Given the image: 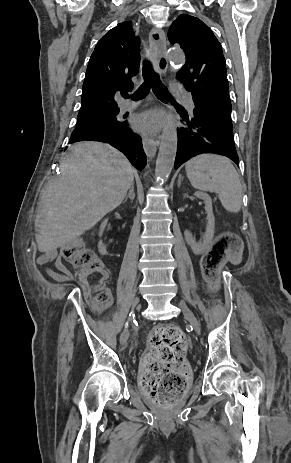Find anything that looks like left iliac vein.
<instances>
[{
    "mask_svg": "<svg viewBox=\"0 0 291 463\" xmlns=\"http://www.w3.org/2000/svg\"><path fill=\"white\" fill-rule=\"evenodd\" d=\"M179 307L181 308L184 317L190 323V325L194 328V330L196 332H200L201 330L200 324L197 318L195 317L194 313L184 303H179Z\"/></svg>",
    "mask_w": 291,
    "mask_h": 463,
    "instance_id": "obj_1",
    "label": "left iliac vein"
}]
</instances>
